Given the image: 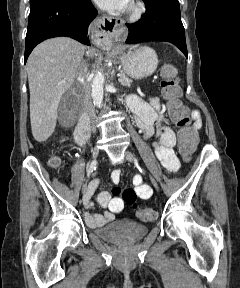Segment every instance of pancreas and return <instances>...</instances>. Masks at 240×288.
Returning <instances> with one entry per match:
<instances>
[{
  "mask_svg": "<svg viewBox=\"0 0 240 288\" xmlns=\"http://www.w3.org/2000/svg\"><path fill=\"white\" fill-rule=\"evenodd\" d=\"M119 82L123 85V86H130L132 84V80L129 79L128 77H126L125 75H122L119 78Z\"/></svg>",
  "mask_w": 240,
  "mask_h": 288,
  "instance_id": "cf45deb5",
  "label": "pancreas"
}]
</instances>
